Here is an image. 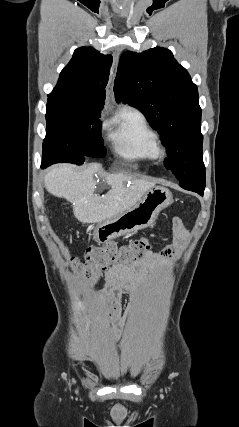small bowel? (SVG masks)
<instances>
[{
  "instance_id": "small-bowel-1",
  "label": "small bowel",
  "mask_w": 239,
  "mask_h": 427,
  "mask_svg": "<svg viewBox=\"0 0 239 427\" xmlns=\"http://www.w3.org/2000/svg\"><path fill=\"white\" fill-rule=\"evenodd\" d=\"M175 226L174 244L166 247L161 252L148 253L144 258L129 265H115L105 274V287L103 302L110 305L107 318L113 321L119 329L126 324L128 315L138 312L144 303V291L148 290L161 276L170 264V258L175 248L186 237V230L182 227L180 219L173 220ZM122 292L131 295L125 316L121 315V302L119 295ZM110 335L115 340L120 338V331Z\"/></svg>"
}]
</instances>
